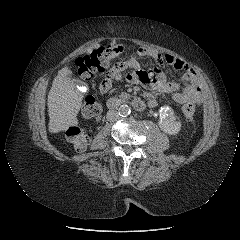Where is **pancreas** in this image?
Masks as SVG:
<instances>
[{"label": "pancreas", "instance_id": "1", "mask_svg": "<svg viewBox=\"0 0 240 240\" xmlns=\"http://www.w3.org/2000/svg\"><path fill=\"white\" fill-rule=\"evenodd\" d=\"M119 97H120L121 99H128V98L130 97V95L127 94V93H121V94L119 95Z\"/></svg>", "mask_w": 240, "mask_h": 240}]
</instances>
